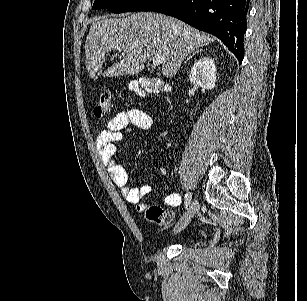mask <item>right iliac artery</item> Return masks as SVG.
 Returning a JSON list of instances; mask_svg holds the SVG:
<instances>
[{
  "label": "right iliac artery",
  "mask_w": 307,
  "mask_h": 301,
  "mask_svg": "<svg viewBox=\"0 0 307 301\" xmlns=\"http://www.w3.org/2000/svg\"><path fill=\"white\" fill-rule=\"evenodd\" d=\"M191 198H192V195H191L190 192H188V193L185 195V208H186V209H187L188 206L190 205Z\"/></svg>",
  "instance_id": "82829eb1"
}]
</instances>
